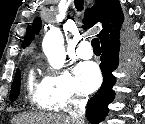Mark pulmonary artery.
<instances>
[{
  "instance_id": "1",
  "label": "pulmonary artery",
  "mask_w": 145,
  "mask_h": 124,
  "mask_svg": "<svg viewBox=\"0 0 145 124\" xmlns=\"http://www.w3.org/2000/svg\"><path fill=\"white\" fill-rule=\"evenodd\" d=\"M78 57L82 59H90L93 56V51L91 49V45L87 41H83L79 43L77 49Z\"/></svg>"
}]
</instances>
